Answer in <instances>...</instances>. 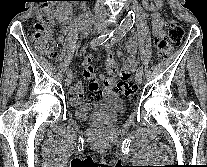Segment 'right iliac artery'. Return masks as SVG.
<instances>
[{"instance_id":"obj_1","label":"right iliac artery","mask_w":207,"mask_h":167,"mask_svg":"<svg viewBox=\"0 0 207 167\" xmlns=\"http://www.w3.org/2000/svg\"><path fill=\"white\" fill-rule=\"evenodd\" d=\"M120 29V28H119ZM117 30H113L111 32L102 34L98 37H96L95 39H93L90 43L91 47H96L99 45H102L103 43H105L107 40H109L115 33ZM72 73V71L70 69L67 70V74Z\"/></svg>"}]
</instances>
